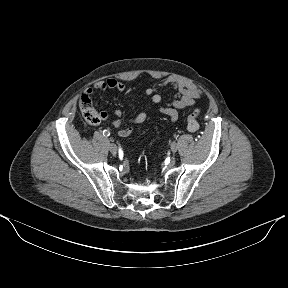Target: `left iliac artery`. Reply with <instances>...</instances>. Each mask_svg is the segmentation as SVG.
Masks as SVG:
<instances>
[{"label":"left iliac artery","instance_id":"44dca946","mask_svg":"<svg viewBox=\"0 0 288 288\" xmlns=\"http://www.w3.org/2000/svg\"><path fill=\"white\" fill-rule=\"evenodd\" d=\"M178 141V136L177 135H172L171 138L168 139V144L169 145H174L175 142Z\"/></svg>","mask_w":288,"mask_h":288}]
</instances>
